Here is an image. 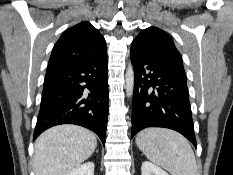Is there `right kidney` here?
<instances>
[{
    "mask_svg": "<svg viewBox=\"0 0 233 175\" xmlns=\"http://www.w3.org/2000/svg\"><path fill=\"white\" fill-rule=\"evenodd\" d=\"M68 175H94V163L86 162L81 164L69 172Z\"/></svg>",
    "mask_w": 233,
    "mask_h": 175,
    "instance_id": "ca27d5eb",
    "label": "right kidney"
}]
</instances>
